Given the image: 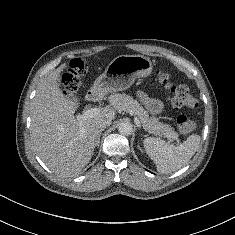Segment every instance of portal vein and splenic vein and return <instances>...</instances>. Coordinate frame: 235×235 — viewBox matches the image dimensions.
<instances>
[{
    "label": "portal vein and splenic vein",
    "mask_w": 235,
    "mask_h": 235,
    "mask_svg": "<svg viewBox=\"0 0 235 235\" xmlns=\"http://www.w3.org/2000/svg\"><path fill=\"white\" fill-rule=\"evenodd\" d=\"M100 113V108H89L85 110L81 115H78L77 118L81 120H85L87 118L95 117ZM134 122L138 127H141L139 119L135 116Z\"/></svg>",
    "instance_id": "18ae733b"
}]
</instances>
